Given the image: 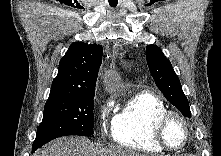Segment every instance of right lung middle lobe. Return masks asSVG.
<instances>
[{
  "mask_svg": "<svg viewBox=\"0 0 221 156\" xmlns=\"http://www.w3.org/2000/svg\"><path fill=\"white\" fill-rule=\"evenodd\" d=\"M94 94L92 92L73 98L48 100L32 151L57 137L93 135Z\"/></svg>",
  "mask_w": 221,
  "mask_h": 156,
  "instance_id": "1",
  "label": "right lung middle lobe"
}]
</instances>
